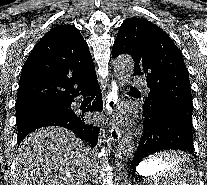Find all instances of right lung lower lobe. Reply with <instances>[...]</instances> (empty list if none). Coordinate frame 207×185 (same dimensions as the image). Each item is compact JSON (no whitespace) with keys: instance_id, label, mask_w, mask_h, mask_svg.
<instances>
[{"instance_id":"1","label":"right lung lower lobe","mask_w":207,"mask_h":185,"mask_svg":"<svg viewBox=\"0 0 207 185\" xmlns=\"http://www.w3.org/2000/svg\"><path fill=\"white\" fill-rule=\"evenodd\" d=\"M83 95L96 98L83 111L72 109L74 97ZM97 78L80 85L62 103L64 108H56L46 112L33 114L16 122L18 128L17 142H20L32 131L45 126H59L73 131L80 139L88 141L94 147L98 140L99 128L90 123L84 112L102 111L103 104ZM93 99V97H92Z\"/></svg>"}]
</instances>
